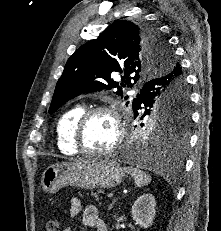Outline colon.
<instances>
[{"instance_id": "5ec220e1", "label": "colon", "mask_w": 221, "mask_h": 231, "mask_svg": "<svg viewBox=\"0 0 221 231\" xmlns=\"http://www.w3.org/2000/svg\"><path fill=\"white\" fill-rule=\"evenodd\" d=\"M60 221L57 218H53L47 221L46 223V231H60Z\"/></svg>"}]
</instances>
